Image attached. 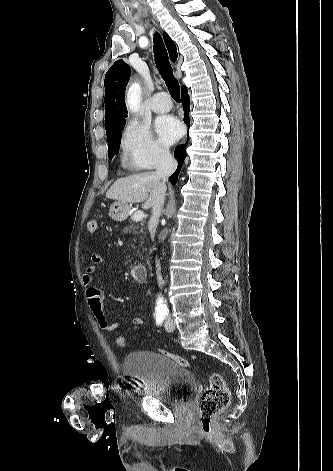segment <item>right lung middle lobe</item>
<instances>
[{
	"instance_id": "obj_1",
	"label": "right lung middle lobe",
	"mask_w": 333,
	"mask_h": 471,
	"mask_svg": "<svg viewBox=\"0 0 333 471\" xmlns=\"http://www.w3.org/2000/svg\"><path fill=\"white\" fill-rule=\"evenodd\" d=\"M126 121L114 126L107 132L108 141V155L112 159L115 154L118 153L121 141L122 130L125 126Z\"/></svg>"
}]
</instances>
